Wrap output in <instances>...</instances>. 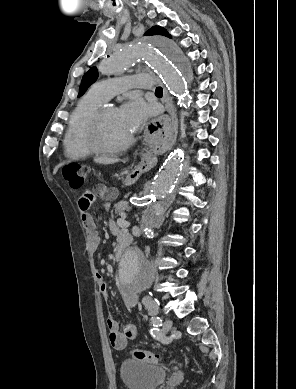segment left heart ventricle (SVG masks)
I'll return each instance as SVG.
<instances>
[{
    "label": "left heart ventricle",
    "instance_id": "1",
    "mask_svg": "<svg viewBox=\"0 0 296 389\" xmlns=\"http://www.w3.org/2000/svg\"><path fill=\"white\" fill-rule=\"evenodd\" d=\"M131 136L123 125L118 110L108 108L102 128V137L105 144L108 146H117L126 142Z\"/></svg>",
    "mask_w": 296,
    "mask_h": 389
}]
</instances>
